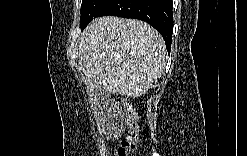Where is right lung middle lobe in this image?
<instances>
[{
  "label": "right lung middle lobe",
  "mask_w": 247,
  "mask_h": 156,
  "mask_svg": "<svg viewBox=\"0 0 247 156\" xmlns=\"http://www.w3.org/2000/svg\"><path fill=\"white\" fill-rule=\"evenodd\" d=\"M108 0H82L80 26L83 30L97 16Z\"/></svg>",
  "instance_id": "dd1d6c3e"
}]
</instances>
